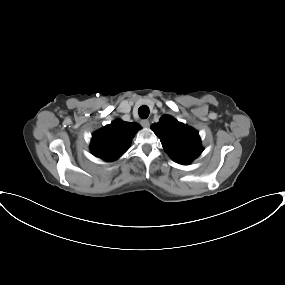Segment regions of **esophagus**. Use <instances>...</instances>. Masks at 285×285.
Segmentation results:
<instances>
[{"mask_svg": "<svg viewBox=\"0 0 285 285\" xmlns=\"http://www.w3.org/2000/svg\"><path fill=\"white\" fill-rule=\"evenodd\" d=\"M141 125H142L143 127L147 128V127L150 126V123H149L148 120H142V121H141Z\"/></svg>", "mask_w": 285, "mask_h": 285, "instance_id": "34e87169", "label": "esophagus"}]
</instances>
